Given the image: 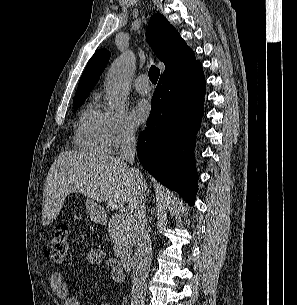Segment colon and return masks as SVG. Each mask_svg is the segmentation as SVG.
<instances>
[{
    "label": "colon",
    "instance_id": "colon-1",
    "mask_svg": "<svg viewBox=\"0 0 297 305\" xmlns=\"http://www.w3.org/2000/svg\"><path fill=\"white\" fill-rule=\"evenodd\" d=\"M49 257L57 264L70 261L69 227L66 222L59 223L46 246Z\"/></svg>",
    "mask_w": 297,
    "mask_h": 305
}]
</instances>
